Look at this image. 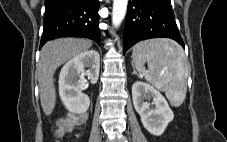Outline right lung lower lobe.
Here are the masks:
<instances>
[{
    "label": "right lung lower lobe",
    "instance_id": "obj_1",
    "mask_svg": "<svg viewBox=\"0 0 227 142\" xmlns=\"http://www.w3.org/2000/svg\"><path fill=\"white\" fill-rule=\"evenodd\" d=\"M98 0H45L40 47L57 37H85L100 44Z\"/></svg>",
    "mask_w": 227,
    "mask_h": 142
}]
</instances>
